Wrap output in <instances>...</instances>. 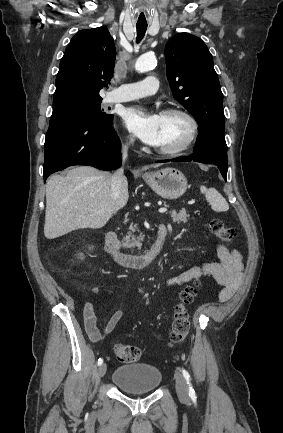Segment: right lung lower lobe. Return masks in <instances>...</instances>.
<instances>
[{"label":"right lung lower lobe","mask_w":283,"mask_h":433,"mask_svg":"<svg viewBox=\"0 0 283 433\" xmlns=\"http://www.w3.org/2000/svg\"><path fill=\"white\" fill-rule=\"evenodd\" d=\"M112 123L113 118L50 121L44 145V182L50 174L72 165L106 171L120 167V141Z\"/></svg>","instance_id":"98d812e1"}]
</instances>
